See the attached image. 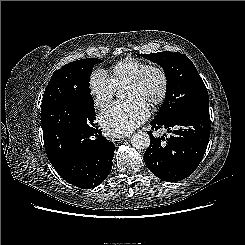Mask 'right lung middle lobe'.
Returning a JSON list of instances; mask_svg holds the SVG:
<instances>
[{"label": "right lung middle lobe", "instance_id": "dd1d6c3e", "mask_svg": "<svg viewBox=\"0 0 245 245\" xmlns=\"http://www.w3.org/2000/svg\"><path fill=\"white\" fill-rule=\"evenodd\" d=\"M97 58L81 59L64 66V91L56 110L43 125L51 128L86 129L93 126L95 110L89 80Z\"/></svg>", "mask_w": 245, "mask_h": 245}]
</instances>
